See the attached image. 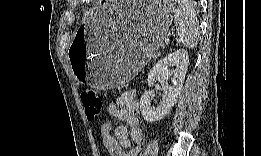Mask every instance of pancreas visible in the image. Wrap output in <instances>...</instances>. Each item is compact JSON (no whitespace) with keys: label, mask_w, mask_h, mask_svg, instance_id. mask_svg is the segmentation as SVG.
<instances>
[{"label":"pancreas","mask_w":261,"mask_h":156,"mask_svg":"<svg viewBox=\"0 0 261 156\" xmlns=\"http://www.w3.org/2000/svg\"><path fill=\"white\" fill-rule=\"evenodd\" d=\"M159 55H160V54L157 53V54H155L152 58H157Z\"/></svg>","instance_id":"1"}]
</instances>
